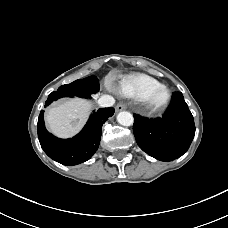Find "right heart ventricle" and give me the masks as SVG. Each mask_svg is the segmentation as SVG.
I'll list each match as a JSON object with an SVG mask.
<instances>
[{
	"mask_svg": "<svg viewBox=\"0 0 228 228\" xmlns=\"http://www.w3.org/2000/svg\"><path fill=\"white\" fill-rule=\"evenodd\" d=\"M162 85L155 78L146 74H132L122 79L117 87L119 94L136 100H142L153 87Z\"/></svg>",
	"mask_w": 228,
	"mask_h": 228,
	"instance_id": "obj_1",
	"label": "right heart ventricle"
}]
</instances>
